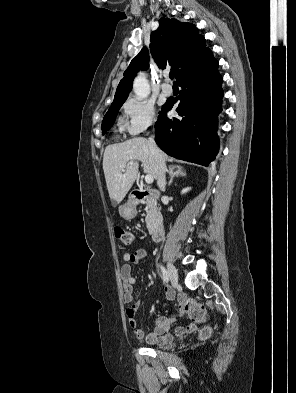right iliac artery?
<instances>
[{"mask_svg":"<svg viewBox=\"0 0 296 393\" xmlns=\"http://www.w3.org/2000/svg\"><path fill=\"white\" fill-rule=\"evenodd\" d=\"M160 268H161V272H162V279H163V281L166 282V283L169 282V276H168L167 271L161 265H160Z\"/></svg>","mask_w":296,"mask_h":393,"instance_id":"82829eb1","label":"right iliac artery"}]
</instances>
